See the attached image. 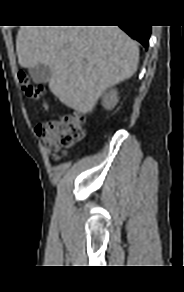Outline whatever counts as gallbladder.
<instances>
[{
    "label": "gallbladder",
    "instance_id": "obj_1",
    "mask_svg": "<svg viewBox=\"0 0 184 292\" xmlns=\"http://www.w3.org/2000/svg\"><path fill=\"white\" fill-rule=\"evenodd\" d=\"M29 74L36 84H45L49 82L52 72L49 66L38 64L29 69Z\"/></svg>",
    "mask_w": 184,
    "mask_h": 292
}]
</instances>
